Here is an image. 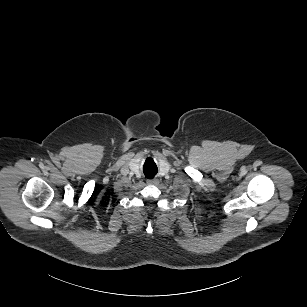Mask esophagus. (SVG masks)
<instances>
[{
    "mask_svg": "<svg viewBox=\"0 0 307 307\" xmlns=\"http://www.w3.org/2000/svg\"><path fill=\"white\" fill-rule=\"evenodd\" d=\"M146 182L149 185H157L159 183V179L158 178H150V179H147Z\"/></svg>",
    "mask_w": 307,
    "mask_h": 307,
    "instance_id": "1",
    "label": "esophagus"
}]
</instances>
